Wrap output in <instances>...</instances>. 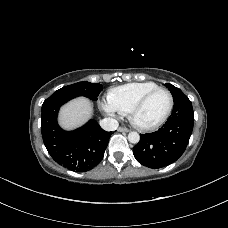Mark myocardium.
I'll list each match as a JSON object with an SVG mask.
<instances>
[{
  "label": "myocardium",
  "instance_id": "1",
  "mask_svg": "<svg viewBox=\"0 0 228 228\" xmlns=\"http://www.w3.org/2000/svg\"><path fill=\"white\" fill-rule=\"evenodd\" d=\"M159 91H164L168 95V98H169V104H168L165 114L161 117V119H159L157 122H155L153 124L142 125V124L138 123L136 120V115H137L138 111L145 105V103L149 100V98L152 95H154L156 92H159ZM173 105H174V99H173L171 92L164 87H157V88L152 89L149 92H147L133 105V107L131 108V110L129 112V117H130L132 124L137 129H139L141 131H153V130L158 129L161 125H163L166 122V120L168 119V117L170 116V114L172 112Z\"/></svg>",
  "mask_w": 228,
  "mask_h": 228
}]
</instances>
